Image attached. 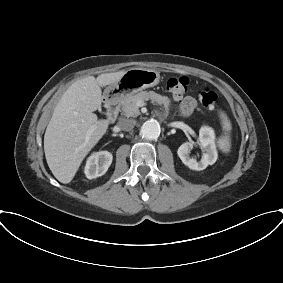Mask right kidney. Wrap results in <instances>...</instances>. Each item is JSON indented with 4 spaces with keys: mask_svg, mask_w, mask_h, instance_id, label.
Listing matches in <instances>:
<instances>
[{
    "mask_svg": "<svg viewBox=\"0 0 283 283\" xmlns=\"http://www.w3.org/2000/svg\"><path fill=\"white\" fill-rule=\"evenodd\" d=\"M112 154L108 151L93 153L86 162L85 175L88 179L97 178L106 173L112 163Z\"/></svg>",
    "mask_w": 283,
    "mask_h": 283,
    "instance_id": "obj_1",
    "label": "right kidney"
}]
</instances>
